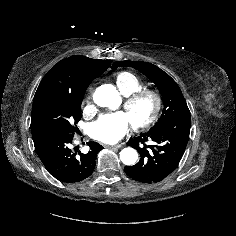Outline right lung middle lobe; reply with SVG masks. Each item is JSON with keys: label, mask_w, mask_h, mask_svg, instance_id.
<instances>
[{"label": "right lung middle lobe", "mask_w": 236, "mask_h": 236, "mask_svg": "<svg viewBox=\"0 0 236 236\" xmlns=\"http://www.w3.org/2000/svg\"><path fill=\"white\" fill-rule=\"evenodd\" d=\"M84 93H51L43 97L32 109L31 129H45L74 136L76 128L72 124L81 119Z\"/></svg>", "instance_id": "dd1d6c3e"}]
</instances>
